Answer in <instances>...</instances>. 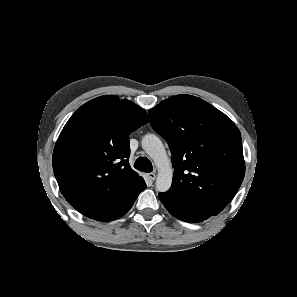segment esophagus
Here are the masks:
<instances>
[{"label": "esophagus", "instance_id": "esophagus-1", "mask_svg": "<svg viewBox=\"0 0 297 297\" xmlns=\"http://www.w3.org/2000/svg\"><path fill=\"white\" fill-rule=\"evenodd\" d=\"M147 176L151 181H154L156 178V174L154 172L148 173Z\"/></svg>", "mask_w": 297, "mask_h": 297}]
</instances>
